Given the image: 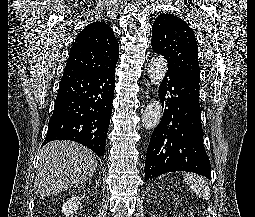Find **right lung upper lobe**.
<instances>
[{
	"mask_svg": "<svg viewBox=\"0 0 255 217\" xmlns=\"http://www.w3.org/2000/svg\"><path fill=\"white\" fill-rule=\"evenodd\" d=\"M119 44L104 22H93L77 35L64 72H103L115 68Z\"/></svg>",
	"mask_w": 255,
	"mask_h": 217,
	"instance_id": "right-lung-upper-lobe-1",
	"label": "right lung upper lobe"
}]
</instances>
